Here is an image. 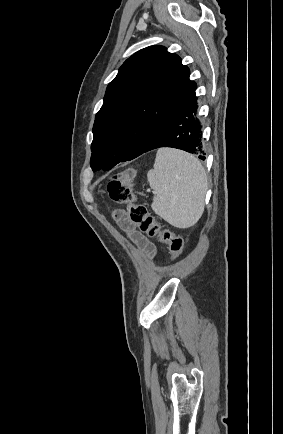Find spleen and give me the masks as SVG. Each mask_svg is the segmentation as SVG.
<instances>
[{
	"mask_svg": "<svg viewBox=\"0 0 283 434\" xmlns=\"http://www.w3.org/2000/svg\"><path fill=\"white\" fill-rule=\"evenodd\" d=\"M153 211L172 226L189 228L204 211L207 176L200 161L183 151L163 148L147 174Z\"/></svg>",
	"mask_w": 283,
	"mask_h": 434,
	"instance_id": "spleen-1",
	"label": "spleen"
}]
</instances>
